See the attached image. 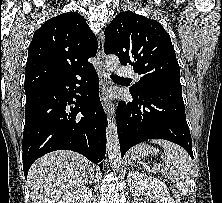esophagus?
<instances>
[{
  "mask_svg": "<svg viewBox=\"0 0 222 203\" xmlns=\"http://www.w3.org/2000/svg\"><path fill=\"white\" fill-rule=\"evenodd\" d=\"M98 53H97V59H98V65H97V72L100 79V97L101 102L103 105V108L108 116H114V109L110 106L109 102L106 98V92H107V75L104 65V32H100L98 36Z\"/></svg>",
  "mask_w": 222,
  "mask_h": 203,
  "instance_id": "34e87169",
  "label": "esophagus"
}]
</instances>
